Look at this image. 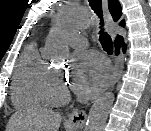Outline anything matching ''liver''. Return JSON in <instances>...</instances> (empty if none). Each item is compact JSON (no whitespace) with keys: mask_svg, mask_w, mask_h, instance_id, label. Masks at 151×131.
I'll return each instance as SVG.
<instances>
[{"mask_svg":"<svg viewBox=\"0 0 151 131\" xmlns=\"http://www.w3.org/2000/svg\"><path fill=\"white\" fill-rule=\"evenodd\" d=\"M62 117L41 107L17 111L9 119L6 131H58Z\"/></svg>","mask_w":151,"mask_h":131,"instance_id":"6515ba94","label":"liver"}]
</instances>
